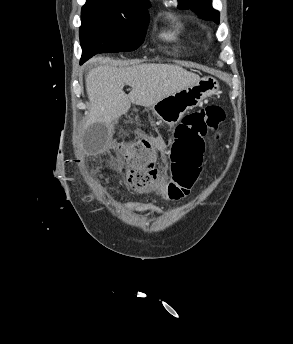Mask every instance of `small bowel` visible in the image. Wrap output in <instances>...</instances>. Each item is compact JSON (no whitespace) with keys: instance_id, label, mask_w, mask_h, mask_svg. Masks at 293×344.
Instances as JSON below:
<instances>
[{"instance_id":"small-bowel-1","label":"small bowel","mask_w":293,"mask_h":344,"mask_svg":"<svg viewBox=\"0 0 293 344\" xmlns=\"http://www.w3.org/2000/svg\"><path fill=\"white\" fill-rule=\"evenodd\" d=\"M140 136H143L140 134ZM150 139L154 142L155 149L160 153H164L166 151V144L161 137H150ZM156 169V166L153 164L152 173ZM201 172V168L198 170V176ZM127 208L129 210L137 211V212H153V209L149 203L145 202H136L130 203Z\"/></svg>"}]
</instances>
